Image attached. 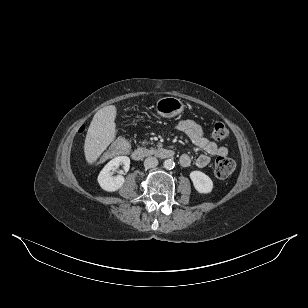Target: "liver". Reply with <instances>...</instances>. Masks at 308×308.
<instances>
[{
	"instance_id": "1",
	"label": "liver",
	"mask_w": 308,
	"mask_h": 308,
	"mask_svg": "<svg viewBox=\"0 0 308 308\" xmlns=\"http://www.w3.org/2000/svg\"><path fill=\"white\" fill-rule=\"evenodd\" d=\"M116 106L103 107L94 115L88 128L84 154L89 164L94 163L116 136Z\"/></svg>"
}]
</instances>
